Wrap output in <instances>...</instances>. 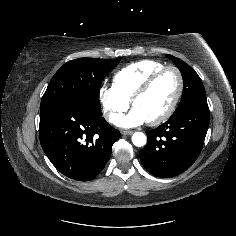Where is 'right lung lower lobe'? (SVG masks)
Wrapping results in <instances>:
<instances>
[{
  "instance_id": "1",
  "label": "right lung lower lobe",
  "mask_w": 236,
  "mask_h": 236,
  "mask_svg": "<svg viewBox=\"0 0 236 236\" xmlns=\"http://www.w3.org/2000/svg\"><path fill=\"white\" fill-rule=\"evenodd\" d=\"M39 134L51 163L63 175L79 181H90L100 173L120 137L101 111L67 100L40 109Z\"/></svg>"
}]
</instances>
